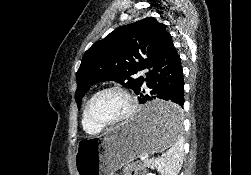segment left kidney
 <instances>
[{"instance_id":"obj_1","label":"left kidney","mask_w":251,"mask_h":175,"mask_svg":"<svg viewBox=\"0 0 251 175\" xmlns=\"http://www.w3.org/2000/svg\"><path fill=\"white\" fill-rule=\"evenodd\" d=\"M147 175H155V173H147Z\"/></svg>"}]
</instances>
